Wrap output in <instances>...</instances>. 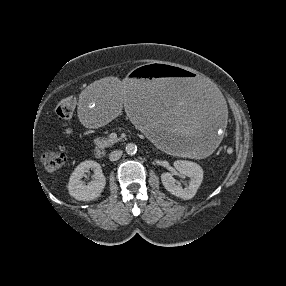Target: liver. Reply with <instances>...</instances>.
Segmentation results:
<instances>
[{"mask_svg": "<svg viewBox=\"0 0 286 286\" xmlns=\"http://www.w3.org/2000/svg\"><path fill=\"white\" fill-rule=\"evenodd\" d=\"M119 89L121 90V94L124 96V99L126 100L127 97H125V94L127 92V85L125 83L123 85H119ZM98 90L100 91V86H99Z\"/></svg>", "mask_w": 286, "mask_h": 286, "instance_id": "obj_1", "label": "liver"}]
</instances>
